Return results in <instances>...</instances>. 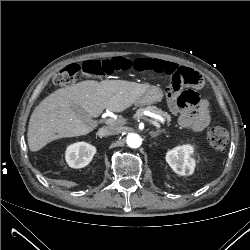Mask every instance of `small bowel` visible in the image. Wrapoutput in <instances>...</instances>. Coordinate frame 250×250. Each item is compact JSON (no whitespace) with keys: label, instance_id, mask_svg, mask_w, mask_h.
I'll return each instance as SVG.
<instances>
[{"label":"small bowel","instance_id":"obj_1","mask_svg":"<svg viewBox=\"0 0 250 250\" xmlns=\"http://www.w3.org/2000/svg\"><path fill=\"white\" fill-rule=\"evenodd\" d=\"M133 68L138 71L152 70L157 73L172 75L182 67L170 61L142 57L133 60ZM170 106L172 112L179 113V123L184 128L201 132L210 124L209 104L204 99L195 108H181L175 100L170 101Z\"/></svg>","mask_w":250,"mask_h":250}]
</instances>
